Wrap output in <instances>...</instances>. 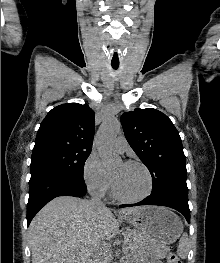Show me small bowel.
Returning <instances> with one entry per match:
<instances>
[{
    "label": "small bowel",
    "mask_w": 220,
    "mask_h": 263,
    "mask_svg": "<svg viewBox=\"0 0 220 263\" xmlns=\"http://www.w3.org/2000/svg\"><path fill=\"white\" fill-rule=\"evenodd\" d=\"M147 263H161V262L156 259H150L147 261Z\"/></svg>",
    "instance_id": "1"
}]
</instances>
